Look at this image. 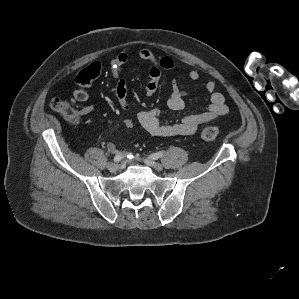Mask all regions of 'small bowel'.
I'll list each match as a JSON object with an SVG mask.
<instances>
[{
    "instance_id": "obj_1",
    "label": "small bowel",
    "mask_w": 299,
    "mask_h": 299,
    "mask_svg": "<svg viewBox=\"0 0 299 299\" xmlns=\"http://www.w3.org/2000/svg\"><path fill=\"white\" fill-rule=\"evenodd\" d=\"M138 57L142 61H146L150 64L149 81L145 86V93L146 95L151 96L158 89L162 71L173 69L175 63L171 57H158L149 49H141L138 52ZM128 60V53L121 52L111 63V74L117 79L115 95L123 110L129 108L127 102V84L126 81L121 78L122 67ZM100 72V63L94 62L78 74L76 78L78 88L74 91V99L76 101L84 102L88 99L87 88L91 82L100 75ZM199 76L197 70H191L189 72V78L193 81L198 80ZM205 89L210 94L209 105L206 110L187 115L180 122L167 123L161 120L160 111L158 109H148L140 111L137 114L138 123L153 136L172 137L193 135L200 125L210 122L219 116L226 115L229 111L224 95L215 91V83L213 81L207 82L205 84ZM188 94L189 93L186 90L181 89L174 80L172 84V92L167 100L168 107L174 111L183 110L186 107ZM82 111L83 113H89L92 111V107L86 106ZM107 148L109 151H115V145L113 143H108Z\"/></svg>"
}]
</instances>
